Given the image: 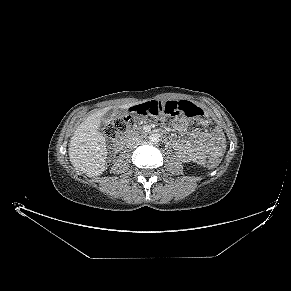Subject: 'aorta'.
<instances>
[{
  "instance_id": "1",
  "label": "aorta",
  "mask_w": 291,
  "mask_h": 291,
  "mask_svg": "<svg viewBox=\"0 0 291 291\" xmlns=\"http://www.w3.org/2000/svg\"><path fill=\"white\" fill-rule=\"evenodd\" d=\"M159 141H160V137H159L158 134H151V135L149 136V142H150L151 144H157Z\"/></svg>"
}]
</instances>
